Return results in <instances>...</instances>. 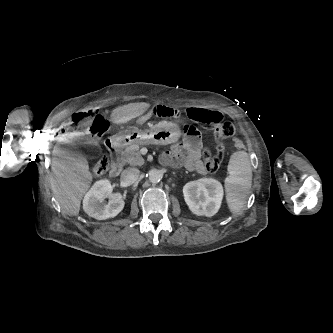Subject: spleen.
<instances>
[{"instance_id":"3e777b00","label":"spleen","mask_w":333,"mask_h":333,"mask_svg":"<svg viewBox=\"0 0 333 333\" xmlns=\"http://www.w3.org/2000/svg\"><path fill=\"white\" fill-rule=\"evenodd\" d=\"M228 176L225 179V191L228 207L233 214L244 207L250 194L252 167L246 151L232 154L228 164Z\"/></svg>"}]
</instances>
